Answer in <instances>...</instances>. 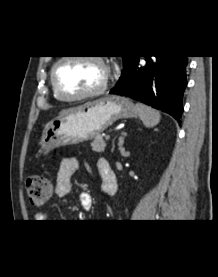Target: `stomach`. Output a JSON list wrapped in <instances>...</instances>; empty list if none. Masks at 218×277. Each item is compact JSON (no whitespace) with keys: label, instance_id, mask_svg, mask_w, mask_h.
<instances>
[{"label":"stomach","instance_id":"1","mask_svg":"<svg viewBox=\"0 0 218 277\" xmlns=\"http://www.w3.org/2000/svg\"><path fill=\"white\" fill-rule=\"evenodd\" d=\"M136 115V108L131 100L107 95L87 102L75 112L59 116L46 124L39 145L42 152L47 154L61 146L94 139L117 120Z\"/></svg>","mask_w":218,"mask_h":277}]
</instances>
